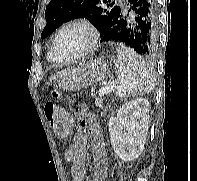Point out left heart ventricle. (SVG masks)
<instances>
[{"label": "left heart ventricle", "instance_id": "left-heart-ventricle-1", "mask_svg": "<svg viewBox=\"0 0 197 181\" xmlns=\"http://www.w3.org/2000/svg\"><path fill=\"white\" fill-rule=\"evenodd\" d=\"M89 42L88 32L81 27H70L59 37L56 54L60 60H68L81 52Z\"/></svg>", "mask_w": 197, "mask_h": 181}]
</instances>
